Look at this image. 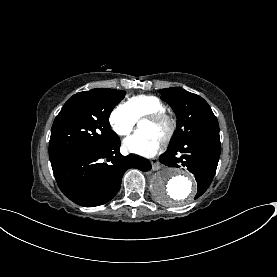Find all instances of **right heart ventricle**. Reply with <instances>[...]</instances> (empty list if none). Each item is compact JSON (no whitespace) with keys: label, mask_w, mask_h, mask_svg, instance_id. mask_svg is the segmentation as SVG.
Masks as SVG:
<instances>
[{"label":"right heart ventricle","mask_w":277,"mask_h":277,"mask_svg":"<svg viewBox=\"0 0 277 277\" xmlns=\"http://www.w3.org/2000/svg\"><path fill=\"white\" fill-rule=\"evenodd\" d=\"M125 106L137 121L150 111H165L163 102L155 96L138 95L130 98Z\"/></svg>","instance_id":"1"}]
</instances>
